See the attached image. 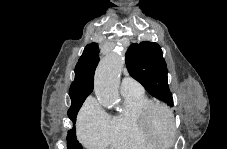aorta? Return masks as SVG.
<instances>
[{
    "mask_svg": "<svg viewBox=\"0 0 227 149\" xmlns=\"http://www.w3.org/2000/svg\"><path fill=\"white\" fill-rule=\"evenodd\" d=\"M124 66V55L117 48L98 65L95 74L94 92L106 108L116 107L119 102V77Z\"/></svg>",
    "mask_w": 227,
    "mask_h": 149,
    "instance_id": "762f6f07",
    "label": "aorta"
}]
</instances>
